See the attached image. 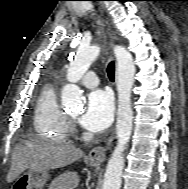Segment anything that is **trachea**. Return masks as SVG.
<instances>
[{"instance_id": "trachea-1", "label": "trachea", "mask_w": 188, "mask_h": 189, "mask_svg": "<svg viewBox=\"0 0 188 189\" xmlns=\"http://www.w3.org/2000/svg\"><path fill=\"white\" fill-rule=\"evenodd\" d=\"M107 74L108 77L111 81L114 80V75H115V65L114 62H110L107 66Z\"/></svg>"}]
</instances>
